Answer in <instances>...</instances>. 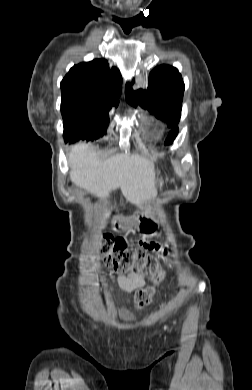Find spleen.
Wrapping results in <instances>:
<instances>
[{
  "instance_id": "1",
  "label": "spleen",
  "mask_w": 252,
  "mask_h": 390,
  "mask_svg": "<svg viewBox=\"0 0 252 390\" xmlns=\"http://www.w3.org/2000/svg\"><path fill=\"white\" fill-rule=\"evenodd\" d=\"M175 171H176V173H177L180 177L183 176L181 170H180L178 167L175 168Z\"/></svg>"
}]
</instances>
